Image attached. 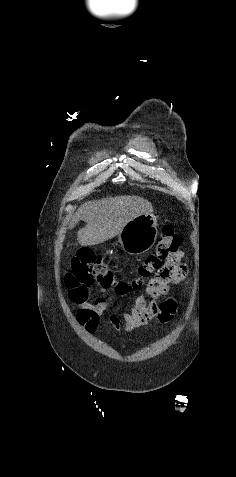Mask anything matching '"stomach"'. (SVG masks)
<instances>
[{
	"instance_id": "stomach-1",
	"label": "stomach",
	"mask_w": 236,
	"mask_h": 477,
	"mask_svg": "<svg viewBox=\"0 0 236 477\" xmlns=\"http://www.w3.org/2000/svg\"><path fill=\"white\" fill-rule=\"evenodd\" d=\"M158 236L157 218L142 214L130 220L118 234L116 246L130 255H140L154 245Z\"/></svg>"
}]
</instances>
